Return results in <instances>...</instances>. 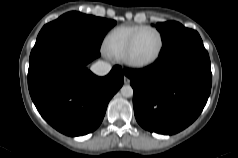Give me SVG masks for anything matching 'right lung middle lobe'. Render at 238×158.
<instances>
[{
  "label": "right lung middle lobe",
  "mask_w": 238,
  "mask_h": 158,
  "mask_svg": "<svg viewBox=\"0 0 238 158\" xmlns=\"http://www.w3.org/2000/svg\"><path fill=\"white\" fill-rule=\"evenodd\" d=\"M115 24L114 20L71 11L46 24L38 34L37 40L50 33H68L91 47L100 49L105 34Z\"/></svg>",
  "instance_id": "1"
}]
</instances>
